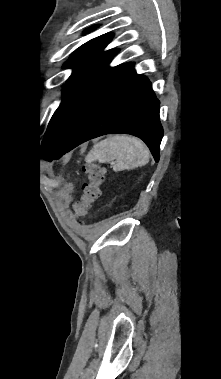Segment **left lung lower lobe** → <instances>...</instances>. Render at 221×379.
I'll return each mask as SVG.
<instances>
[{"instance_id": "obj_1", "label": "left lung lower lobe", "mask_w": 221, "mask_h": 379, "mask_svg": "<svg viewBox=\"0 0 221 379\" xmlns=\"http://www.w3.org/2000/svg\"><path fill=\"white\" fill-rule=\"evenodd\" d=\"M110 133H126L141 138L155 161H159L163 136L159 101L149 80L136 74L133 64L105 90L48 160L61 157L89 139Z\"/></svg>"}]
</instances>
